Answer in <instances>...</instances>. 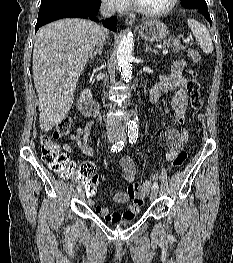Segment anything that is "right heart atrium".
<instances>
[{
  "label": "right heart atrium",
  "mask_w": 233,
  "mask_h": 263,
  "mask_svg": "<svg viewBox=\"0 0 233 263\" xmlns=\"http://www.w3.org/2000/svg\"><path fill=\"white\" fill-rule=\"evenodd\" d=\"M102 2L109 8L118 12H124L130 6V0H102Z\"/></svg>",
  "instance_id": "obj_1"
}]
</instances>
